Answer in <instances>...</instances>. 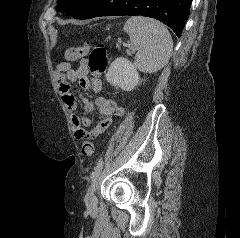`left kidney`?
I'll use <instances>...</instances> for the list:
<instances>
[{"instance_id":"5707ae66","label":"left kidney","mask_w":240,"mask_h":238,"mask_svg":"<svg viewBox=\"0 0 240 238\" xmlns=\"http://www.w3.org/2000/svg\"><path fill=\"white\" fill-rule=\"evenodd\" d=\"M106 79L116 88L131 91L139 82V73L128 59L119 57L111 63Z\"/></svg>"}]
</instances>
